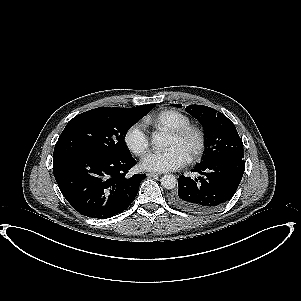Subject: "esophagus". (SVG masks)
<instances>
[{
	"label": "esophagus",
	"instance_id": "34e87169",
	"mask_svg": "<svg viewBox=\"0 0 301 301\" xmlns=\"http://www.w3.org/2000/svg\"><path fill=\"white\" fill-rule=\"evenodd\" d=\"M147 176L155 178V177L160 176V174L159 173H148Z\"/></svg>",
	"mask_w": 301,
	"mask_h": 301
}]
</instances>
